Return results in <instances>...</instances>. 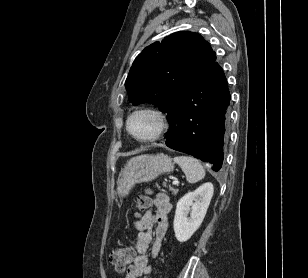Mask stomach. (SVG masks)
Segmentation results:
<instances>
[{"label":"stomach","mask_w":308,"mask_h":278,"mask_svg":"<svg viewBox=\"0 0 308 278\" xmlns=\"http://www.w3.org/2000/svg\"><path fill=\"white\" fill-rule=\"evenodd\" d=\"M174 170V163L168 155H140L127 161L121 170L116 192L119 196H126L137 183L149 182L162 173Z\"/></svg>","instance_id":"stomach-1"}]
</instances>
